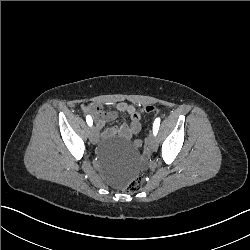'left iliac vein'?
<instances>
[{"mask_svg": "<svg viewBox=\"0 0 250 250\" xmlns=\"http://www.w3.org/2000/svg\"><path fill=\"white\" fill-rule=\"evenodd\" d=\"M146 141H147L148 147L151 150H156L157 149V140H156V138H155V136L153 134H149Z\"/></svg>", "mask_w": 250, "mask_h": 250, "instance_id": "1", "label": "left iliac vein"}]
</instances>
